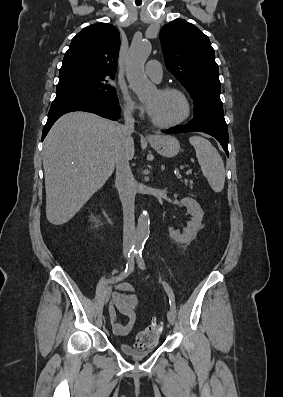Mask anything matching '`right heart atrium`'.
I'll return each instance as SVG.
<instances>
[{
	"label": "right heart atrium",
	"mask_w": 283,
	"mask_h": 397,
	"mask_svg": "<svg viewBox=\"0 0 283 397\" xmlns=\"http://www.w3.org/2000/svg\"><path fill=\"white\" fill-rule=\"evenodd\" d=\"M123 110L126 115L132 116L137 112L136 103L130 97L127 91H123L122 94Z\"/></svg>",
	"instance_id": "1"
}]
</instances>
